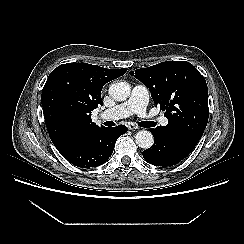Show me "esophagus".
Segmentation results:
<instances>
[{
  "label": "esophagus",
  "instance_id": "1",
  "mask_svg": "<svg viewBox=\"0 0 244 244\" xmlns=\"http://www.w3.org/2000/svg\"><path fill=\"white\" fill-rule=\"evenodd\" d=\"M128 129H129V130H137V129H139V127L136 126L135 124H129V125H128Z\"/></svg>",
  "mask_w": 244,
  "mask_h": 244
}]
</instances>
